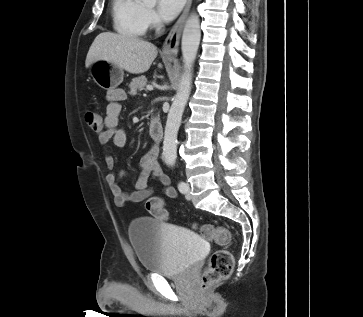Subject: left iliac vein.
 I'll return each mask as SVG.
<instances>
[{
  "mask_svg": "<svg viewBox=\"0 0 363 317\" xmlns=\"http://www.w3.org/2000/svg\"><path fill=\"white\" fill-rule=\"evenodd\" d=\"M186 184V191H185V193H186V197H187V199H190V186H189V184H187V183H185Z\"/></svg>",
  "mask_w": 363,
  "mask_h": 317,
  "instance_id": "left-iliac-vein-1",
  "label": "left iliac vein"
}]
</instances>
